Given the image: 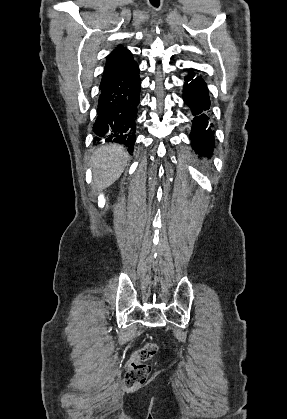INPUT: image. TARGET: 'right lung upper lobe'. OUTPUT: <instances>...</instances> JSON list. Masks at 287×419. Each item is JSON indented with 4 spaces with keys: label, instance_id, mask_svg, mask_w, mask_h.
Here are the masks:
<instances>
[{
    "label": "right lung upper lobe",
    "instance_id": "right-lung-upper-lobe-1",
    "mask_svg": "<svg viewBox=\"0 0 287 419\" xmlns=\"http://www.w3.org/2000/svg\"><path fill=\"white\" fill-rule=\"evenodd\" d=\"M137 65L133 60L132 54L126 48L118 46L107 57L101 84L127 74Z\"/></svg>",
    "mask_w": 287,
    "mask_h": 419
}]
</instances>
